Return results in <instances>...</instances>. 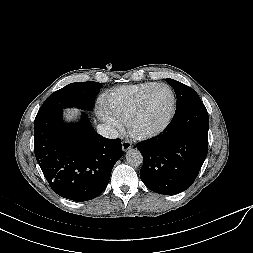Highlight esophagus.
<instances>
[{"label":"esophagus","mask_w":253,"mask_h":253,"mask_svg":"<svg viewBox=\"0 0 253 253\" xmlns=\"http://www.w3.org/2000/svg\"><path fill=\"white\" fill-rule=\"evenodd\" d=\"M131 147H132L131 142H129V141H123L122 142V149H123V151L129 150V149H131Z\"/></svg>","instance_id":"esophagus-1"}]
</instances>
